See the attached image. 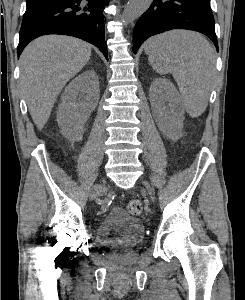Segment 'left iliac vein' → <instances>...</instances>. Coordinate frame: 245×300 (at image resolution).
<instances>
[{
    "instance_id": "left-iliac-vein-1",
    "label": "left iliac vein",
    "mask_w": 245,
    "mask_h": 300,
    "mask_svg": "<svg viewBox=\"0 0 245 300\" xmlns=\"http://www.w3.org/2000/svg\"><path fill=\"white\" fill-rule=\"evenodd\" d=\"M143 184H144V186H145V188H146L147 193H148L150 196H152V195H153V191H152V188L150 187V185H149L146 181H144Z\"/></svg>"
}]
</instances>
